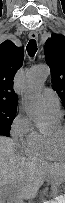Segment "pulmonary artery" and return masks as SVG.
Listing matches in <instances>:
<instances>
[{
  "label": "pulmonary artery",
  "mask_w": 65,
  "mask_h": 203,
  "mask_svg": "<svg viewBox=\"0 0 65 203\" xmlns=\"http://www.w3.org/2000/svg\"><path fill=\"white\" fill-rule=\"evenodd\" d=\"M43 99H44V103L46 105V107L52 111V112H56L58 109V105H59V101L57 99V97L55 96V94L53 93V91L51 89H44L43 91Z\"/></svg>",
  "instance_id": "e3ab8cb5"
}]
</instances>
